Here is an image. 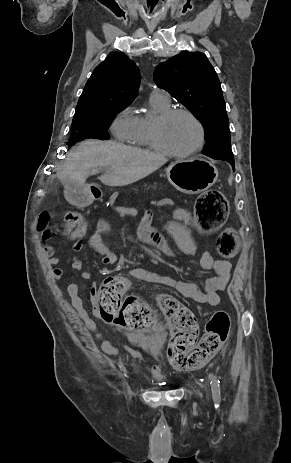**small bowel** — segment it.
Masks as SVG:
<instances>
[{
	"instance_id": "c3829d8e",
	"label": "small bowel",
	"mask_w": 291,
	"mask_h": 463,
	"mask_svg": "<svg viewBox=\"0 0 291 463\" xmlns=\"http://www.w3.org/2000/svg\"><path fill=\"white\" fill-rule=\"evenodd\" d=\"M172 216V215H171ZM173 218V217H172ZM152 214H145L136 229L137 238L141 246H159L169 255H174V251L169 247L167 234L161 232L158 226H151ZM164 229L173 237L179 250L184 254H194L196 245L192 238V227L190 226H175L169 221L164 225ZM110 231V225L105 219L98 220L96 228L89 238V246L94 252L102 257V262L105 265H116L118 258L114 252L105 244L103 236ZM49 238V237H48ZM48 238L42 235L44 243V253L47 257V264L51 267L50 276L53 279H62L65 276V269L60 266L62 259L55 256V247L46 245ZM83 248L81 240L76 241L72 247L71 267L77 271L82 279H90L91 271L86 268L77 257V253ZM200 265L206 271H212L213 276L207 278L202 286L188 281H182L167 275H160L153 271L144 268H135L130 271L131 277L136 280H142L152 283H159L175 288L183 296L192 299L198 303L208 306H216L220 303V293L225 290L231 279V265L227 261L215 259L209 251H203L200 258ZM81 284L79 281H72L66 287V294L71 302V305L76 310L78 316L85 323L86 327L95 334L99 340L102 350L109 355L120 354V349L112 346L108 341L103 340L96 330V324L90 318L88 311L84 306L82 297L80 296ZM98 288L93 285L91 293L92 305L95 306L97 299Z\"/></svg>"
}]
</instances>
